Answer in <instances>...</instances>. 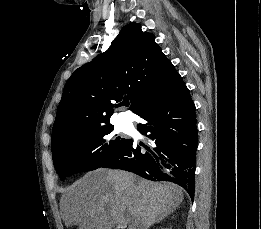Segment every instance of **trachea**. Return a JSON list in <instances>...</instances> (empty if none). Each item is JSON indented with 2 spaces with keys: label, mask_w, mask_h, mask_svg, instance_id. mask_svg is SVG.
I'll list each match as a JSON object with an SVG mask.
<instances>
[{
  "label": "trachea",
  "mask_w": 261,
  "mask_h": 229,
  "mask_svg": "<svg viewBox=\"0 0 261 229\" xmlns=\"http://www.w3.org/2000/svg\"><path fill=\"white\" fill-rule=\"evenodd\" d=\"M122 105H125L126 107H128L129 106V100L124 99L123 102H122Z\"/></svg>",
  "instance_id": "1"
}]
</instances>
